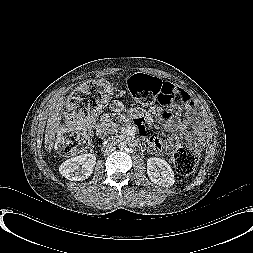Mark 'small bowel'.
Wrapping results in <instances>:
<instances>
[{"mask_svg": "<svg viewBox=\"0 0 253 253\" xmlns=\"http://www.w3.org/2000/svg\"><path fill=\"white\" fill-rule=\"evenodd\" d=\"M173 85V84H172ZM173 88L178 96L177 104L175 109H179V103L186 105L187 114L191 118L192 124L197 130V137L186 130V125L180 122L171 112L163 109H149L144 111L142 108L134 107L128 112L134 120V123L138 129V133L142 139L146 140L150 145V149L155 154H165L174 151L179 143L180 139L178 137H171L165 140L151 136L147 133L145 125L152 124L156 118L158 122L168 131H182L184 139L192 142L196 148L201 147V140L198 128L200 126V116L194 108L192 98L187 92H185L180 87L173 85ZM110 110L121 115L126 112L124 105L120 101H113L109 106ZM93 128L98 136L105 137L110 133H113L117 126L111 118L109 113L103 114L100 121L93 125Z\"/></svg>", "mask_w": 253, "mask_h": 253, "instance_id": "obj_1", "label": "small bowel"}]
</instances>
